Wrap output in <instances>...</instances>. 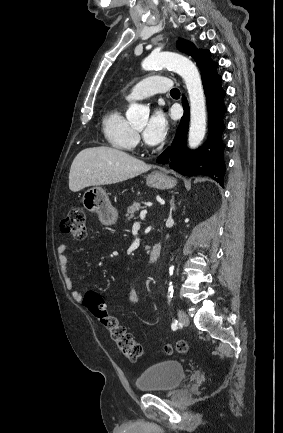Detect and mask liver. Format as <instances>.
I'll list each match as a JSON object with an SVG mask.
<instances>
[{
  "label": "liver",
  "mask_w": 283,
  "mask_h": 433,
  "mask_svg": "<svg viewBox=\"0 0 283 433\" xmlns=\"http://www.w3.org/2000/svg\"><path fill=\"white\" fill-rule=\"evenodd\" d=\"M151 168L143 160L131 154L111 148L92 146L84 148L75 156L69 172V188L73 192L93 184H113L138 176Z\"/></svg>",
  "instance_id": "liver-1"
}]
</instances>
